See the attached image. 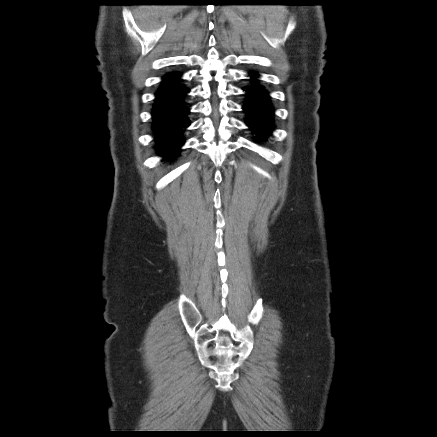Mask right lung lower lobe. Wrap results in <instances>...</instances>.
<instances>
[{
	"label": "right lung lower lobe",
	"mask_w": 437,
	"mask_h": 437,
	"mask_svg": "<svg viewBox=\"0 0 437 437\" xmlns=\"http://www.w3.org/2000/svg\"><path fill=\"white\" fill-rule=\"evenodd\" d=\"M179 72H169L155 93L152 118L156 150L164 159H172L184 144V132L190 125V105L187 103L189 89L184 85Z\"/></svg>",
	"instance_id": "98d812e1"
}]
</instances>
